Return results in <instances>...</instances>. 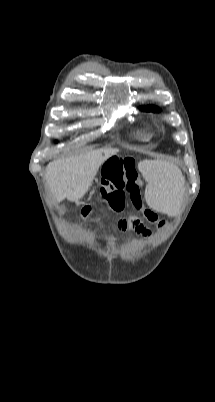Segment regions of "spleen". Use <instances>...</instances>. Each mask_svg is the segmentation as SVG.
<instances>
[{
  "label": "spleen",
  "mask_w": 215,
  "mask_h": 402,
  "mask_svg": "<svg viewBox=\"0 0 215 402\" xmlns=\"http://www.w3.org/2000/svg\"><path fill=\"white\" fill-rule=\"evenodd\" d=\"M141 171L148 184L145 187L149 210L174 214L179 208L178 190L182 186L181 173L172 165L160 161L140 162Z\"/></svg>",
  "instance_id": "1"
}]
</instances>
